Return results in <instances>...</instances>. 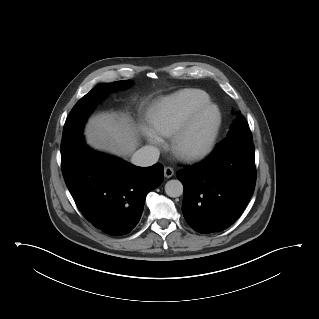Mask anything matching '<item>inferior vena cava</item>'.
<instances>
[{
	"label": "inferior vena cava",
	"mask_w": 319,
	"mask_h": 319,
	"mask_svg": "<svg viewBox=\"0 0 319 319\" xmlns=\"http://www.w3.org/2000/svg\"><path fill=\"white\" fill-rule=\"evenodd\" d=\"M160 151L154 146H144L137 150L132 158V164L136 166L147 167L155 164L158 161Z\"/></svg>",
	"instance_id": "inferior-vena-cava-1"
}]
</instances>
